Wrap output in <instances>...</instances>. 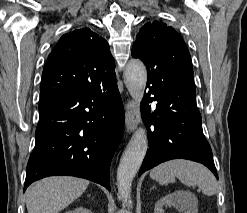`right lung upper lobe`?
Wrapping results in <instances>:
<instances>
[{
    "label": "right lung upper lobe",
    "instance_id": "right-lung-upper-lobe-1",
    "mask_svg": "<svg viewBox=\"0 0 247 213\" xmlns=\"http://www.w3.org/2000/svg\"><path fill=\"white\" fill-rule=\"evenodd\" d=\"M107 41L89 28L64 34L49 54L42 73L40 101L65 90L99 84L115 76Z\"/></svg>",
    "mask_w": 247,
    "mask_h": 213
}]
</instances>
